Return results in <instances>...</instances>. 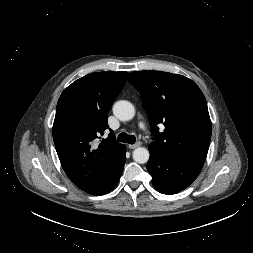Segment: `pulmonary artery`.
<instances>
[{"label":"pulmonary artery","instance_id":"obj_1","mask_svg":"<svg viewBox=\"0 0 253 253\" xmlns=\"http://www.w3.org/2000/svg\"><path fill=\"white\" fill-rule=\"evenodd\" d=\"M140 127L142 128V129H144L145 127H144V124L141 122L140 124Z\"/></svg>","mask_w":253,"mask_h":253}]
</instances>
